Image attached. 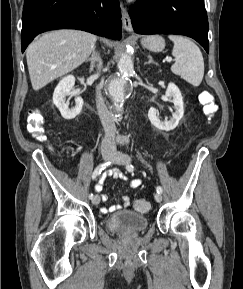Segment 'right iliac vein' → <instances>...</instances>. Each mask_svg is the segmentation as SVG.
<instances>
[{"mask_svg":"<svg viewBox=\"0 0 243 289\" xmlns=\"http://www.w3.org/2000/svg\"><path fill=\"white\" fill-rule=\"evenodd\" d=\"M113 157V154L109 151H103L102 152V158L103 160L105 161H108V160H111ZM92 203L94 205H98L100 203V196L99 195H95L93 198H92Z\"/></svg>","mask_w":243,"mask_h":289,"instance_id":"right-iliac-vein-1","label":"right iliac vein"}]
</instances>
